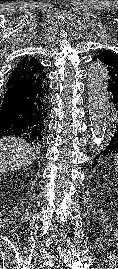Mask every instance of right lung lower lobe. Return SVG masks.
Instances as JSON below:
<instances>
[{
    "mask_svg": "<svg viewBox=\"0 0 118 269\" xmlns=\"http://www.w3.org/2000/svg\"><path fill=\"white\" fill-rule=\"evenodd\" d=\"M36 89L6 87L0 101V137L16 135L31 145H41L43 131L36 126Z\"/></svg>",
    "mask_w": 118,
    "mask_h": 269,
    "instance_id": "obj_1",
    "label": "right lung lower lobe"
}]
</instances>
